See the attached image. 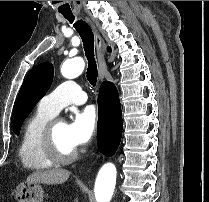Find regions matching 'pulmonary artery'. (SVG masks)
<instances>
[{"mask_svg":"<svg viewBox=\"0 0 209 202\" xmlns=\"http://www.w3.org/2000/svg\"><path fill=\"white\" fill-rule=\"evenodd\" d=\"M87 95L75 80H66L39 101L41 109L56 115L65 106L86 102Z\"/></svg>","mask_w":209,"mask_h":202,"instance_id":"obj_1","label":"pulmonary artery"}]
</instances>
